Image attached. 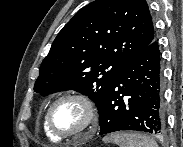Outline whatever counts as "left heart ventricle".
<instances>
[{
	"instance_id": "left-heart-ventricle-1",
	"label": "left heart ventricle",
	"mask_w": 183,
	"mask_h": 147,
	"mask_svg": "<svg viewBox=\"0 0 183 147\" xmlns=\"http://www.w3.org/2000/svg\"><path fill=\"white\" fill-rule=\"evenodd\" d=\"M54 128L61 133H70L82 128L87 120L85 107L78 101L67 99L58 103L51 114Z\"/></svg>"
}]
</instances>
